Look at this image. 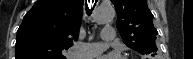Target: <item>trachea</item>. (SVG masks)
<instances>
[{"label": "trachea", "instance_id": "obj_1", "mask_svg": "<svg viewBox=\"0 0 193 59\" xmlns=\"http://www.w3.org/2000/svg\"><path fill=\"white\" fill-rule=\"evenodd\" d=\"M90 1V0H89ZM92 13V9L90 10L88 7H87V14L90 15Z\"/></svg>", "mask_w": 193, "mask_h": 59}]
</instances>
